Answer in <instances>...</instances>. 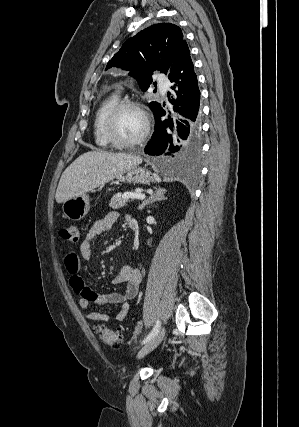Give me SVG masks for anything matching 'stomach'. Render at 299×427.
Returning a JSON list of instances; mask_svg holds the SVG:
<instances>
[{
  "instance_id": "0dacf381",
  "label": "stomach",
  "mask_w": 299,
  "mask_h": 427,
  "mask_svg": "<svg viewBox=\"0 0 299 427\" xmlns=\"http://www.w3.org/2000/svg\"><path fill=\"white\" fill-rule=\"evenodd\" d=\"M124 181L133 184H150L156 180L155 175L142 167H134L126 172L122 178ZM63 214L72 221L83 219L90 210V198L88 194L71 198L62 205Z\"/></svg>"
}]
</instances>
